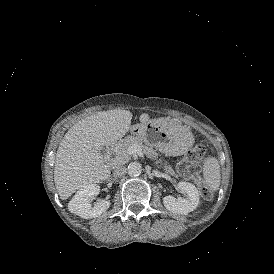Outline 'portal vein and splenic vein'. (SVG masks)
Segmentation results:
<instances>
[{"instance_id": "1", "label": "portal vein and splenic vein", "mask_w": 274, "mask_h": 274, "mask_svg": "<svg viewBox=\"0 0 274 274\" xmlns=\"http://www.w3.org/2000/svg\"><path fill=\"white\" fill-rule=\"evenodd\" d=\"M129 151L131 153H137L139 156H142V152L140 151V146L138 145H132L131 147H129Z\"/></svg>"}]
</instances>
